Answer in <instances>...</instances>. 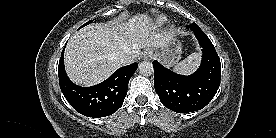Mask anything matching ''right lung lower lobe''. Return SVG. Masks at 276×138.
<instances>
[{
    "label": "right lung lower lobe",
    "instance_id": "right-lung-lower-lobe-1",
    "mask_svg": "<svg viewBox=\"0 0 276 138\" xmlns=\"http://www.w3.org/2000/svg\"><path fill=\"white\" fill-rule=\"evenodd\" d=\"M137 67V63L121 67L107 80L95 86L81 87L66 75L63 49L58 66L59 84L65 98L77 112L88 117H105L123 104L129 80Z\"/></svg>",
    "mask_w": 276,
    "mask_h": 138
}]
</instances>
